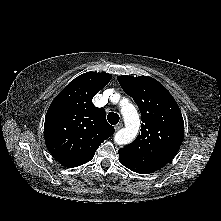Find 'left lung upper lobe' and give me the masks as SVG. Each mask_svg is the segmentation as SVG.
<instances>
[{"label":"left lung upper lobe","instance_id":"obj_1","mask_svg":"<svg viewBox=\"0 0 221 221\" xmlns=\"http://www.w3.org/2000/svg\"><path fill=\"white\" fill-rule=\"evenodd\" d=\"M141 112V133L119 149V157L157 171L178 152L184 136V121L178 104L157 80L151 77H117Z\"/></svg>","mask_w":221,"mask_h":221}]
</instances>
